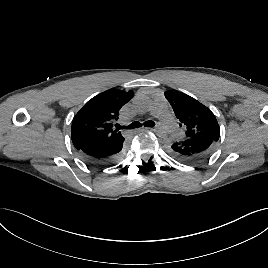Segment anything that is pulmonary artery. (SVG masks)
<instances>
[{"mask_svg":"<svg viewBox=\"0 0 268 268\" xmlns=\"http://www.w3.org/2000/svg\"><path fill=\"white\" fill-rule=\"evenodd\" d=\"M152 112L158 119H160L162 125L169 133L176 134L179 132L173 116L169 112L165 102H157L154 105Z\"/></svg>","mask_w":268,"mask_h":268,"instance_id":"1","label":"pulmonary artery"}]
</instances>
